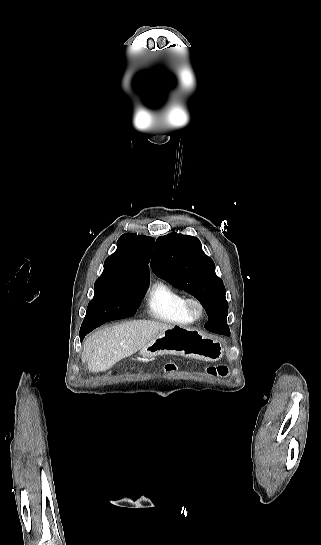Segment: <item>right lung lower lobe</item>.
I'll use <instances>...</instances> for the list:
<instances>
[{
    "instance_id": "obj_1",
    "label": "right lung lower lobe",
    "mask_w": 321,
    "mask_h": 545,
    "mask_svg": "<svg viewBox=\"0 0 321 545\" xmlns=\"http://www.w3.org/2000/svg\"><path fill=\"white\" fill-rule=\"evenodd\" d=\"M141 300L142 298L138 296L124 294L108 301L98 309L97 319L90 323H82L80 340L82 341L85 335L105 322L133 316L138 309Z\"/></svg>"
}]
</instances>
